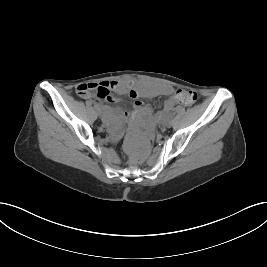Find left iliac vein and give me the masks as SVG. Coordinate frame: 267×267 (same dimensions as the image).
Here are the masks:
<instances>
[{
    "mask_svg": "<svg viewBox=\"0 0 267 267\" xmlns=\"http://www.w3.org/2000/svg\"><path fill=\"white\" fill-rule=\"evenodd\" d=\"M163 126H164V127H169V126H170V123L167 122V121H165V122L163 123Z\"/></svg>",
    "mask_w": 267,
    "mask_h": 267,
    "instance_id": "1",
    "label": "left iliac vein"
}]
</instances>
